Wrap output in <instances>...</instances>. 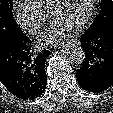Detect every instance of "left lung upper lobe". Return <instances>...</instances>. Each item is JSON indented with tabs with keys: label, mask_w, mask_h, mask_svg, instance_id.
<instances>
[{
	"label": "left lung upper lobe",
	"mask_w": 113,
	"mask_h": 113,
	"mask_svg": "<svg viewBox=\"0 0 113 113\" xmlns=\"http://www.w3.org/2000/svg\"><path fill=\"white\" fill-rule=\"evenodd\" d=\"M108 24H113V1L101 0V12L88 28V31H97Z\"/></svg>",
	"instance_id": "left-lung-upper-lobe-1"
}]
</instances>
